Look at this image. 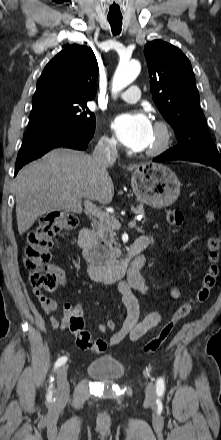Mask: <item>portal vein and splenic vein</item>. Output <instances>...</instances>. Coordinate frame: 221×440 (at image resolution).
Here are the masks:
<instances>
[{"instance_id": "1", "label": "portal vein and splenic vein", "mask_w": 221, "mask_h": 440, "mask_svg": "<svg viewBox=\"0 0 221 440\" xmlns=\"http://www.w3.org/2000/svg\"><path fill=\"white\" fill-rule=\"evenodd\" d=\"M84 205H85L86 211L89 214H91L92 216L98 218L101 222H105L108 225H111L114 229H120L121 228L120 222L115 217H113L109 213L104 212V211L100 210L99 208H97L96 205H94L89 199L84 201ZM128 226L129 227H135L136 226V221L135 220H131L128 223Z\"/></svg>"}]
</instances>
